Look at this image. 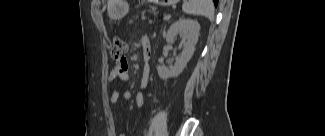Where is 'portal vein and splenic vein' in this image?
<instances>
[{"mask_svg":"<svg viewBox=\"0 0 325 136\" xmlns=\"http://www.w3.org/2000/svg\"><path fill=\"white\" fill-rule=\"evenodd\" d=\"M171 16L169 14L164 15V20H168Z\"/></svg>","mask_w":325,"mask_h":136,"instance_id":"1","label":"portal vein and splenic vein"}]
</instances>
